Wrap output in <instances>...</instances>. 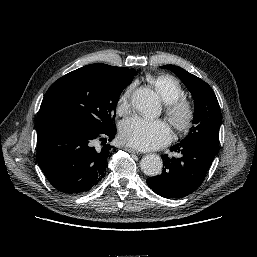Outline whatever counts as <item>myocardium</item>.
I'll list each match as a JSON object with an SVG mask.
<instances>
[{
    "mask_svg": "<svg viewBox=\"0 0 257 257\" xmlns=\"http://www.w3.org/2000/svg\"><path fill=\"white\" fill-rule=\"evenodd\" d=\"M165 115L176 133L189 129L194 118V107L185 98L171 103H165Z\"/></svg>",
    "mask_w": 257,
    "mask_h": 257,
    "instance_id": "obj_1",
    "label": "myocardium"
}]
</instances>
